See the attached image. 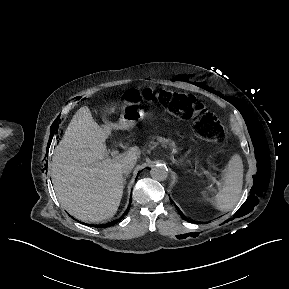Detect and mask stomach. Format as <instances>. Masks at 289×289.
Returning <instances> with one entry per match:
<instances>
[{
    "instance_id": "obj_1",
    "label": "stomach",
    "mask_w": 289,
    "mask_h": 289,
    "mask_svg": "<svg viewBox=\"0 0 289 289\" xmlns=\"http://www.w3.org/2000/svg\"><path fill=\"white\" fill-rule=\"evenodd\" d=\"M142 116V110H134L130 107H124L122 109L121 118L118 122V125L121 127V129H129L136 125V123Z\"/></svg>"
}]
</instances>
